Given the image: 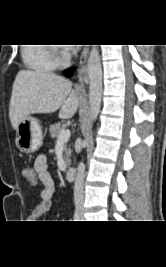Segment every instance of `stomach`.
<instances>
[{
	"mask_svg": "<svg viewBox=\"0 0 166 267\" xmlns=\"http://www.w3.org/2000/svg\"><path fill=\"white\" fill-rule=\"evenodd\" d=\"M43 135L38 121L27 116L16 129V146L24 153L37 151L42 145Z\"/></svg>",
	"mask_w": 166,
	"mask_h": 267,
	"instance_id": "1",
	"label": "stomach"
}]
</instances>
